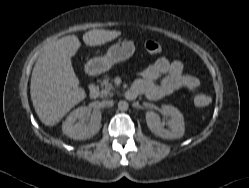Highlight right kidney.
<instances>
[{"instance_id":"obj_1","label":"right kidney","mask_w":249,"mask_h":188,"mask_svg":"<svg viewBox=\"0 0 249 188\" xmlns=\"http://www.w3.org/2000/svg\"><path fill=\"white\" fill-rule=\"evenodd\" d=\"M89 116V109L85 106L73 110L63 123V133L75 140H83L93 137L101 128V112L94 111L90 116L89 124H85V120ZM77 120L78 122L75 123Z\"/></svg>"}]
</instances>
